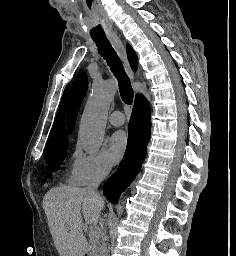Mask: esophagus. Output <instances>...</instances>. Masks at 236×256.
I'll return each instance as SVG.
<instances>
[{
	"label": "esophagus",
	"instance_id": "34e87169",
	"mask_svg": "<svg viewBox=\"0 0 236 256\" xmlns=\"http://www.w3.org/2000/svg\"><path fill=\"white\" fill-rule=\"evenodd\" d=\"M111 39L124 63V67L126 69V71L128 72L129 76L131 79L135 78V75L133 73V71L131 70V67L129 65L128 59H127V55H126V51L123 45V42L121 41L120 37L117 34H113L111 35Z\"/></svg>",
	"mask_w": 236,
	"mask_h": 256
}]
</instances>
